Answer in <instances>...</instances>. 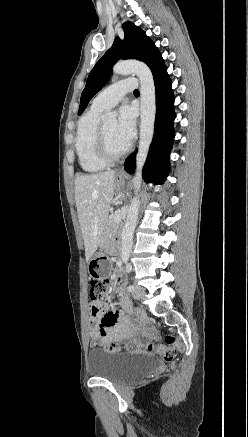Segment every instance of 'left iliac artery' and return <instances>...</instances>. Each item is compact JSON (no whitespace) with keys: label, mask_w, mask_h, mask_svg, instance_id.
<instances>
[{"label":"left iliac artery","mask_w":248,"mask_h":437,"mask_svg":"<svg viewBox=\"0 0 248 437\" xmlns=\"http://www.w3.org/2000/svg\"><path fill=\"white\" fill-rule=\"evenodd\" d=\"M126 271H127V273L131 272V266L130 265H127ZM133 290H134V286L133 285H129L128 286V291L132 292Z\"/></svg>","instance_id":"1"}]
</instances>
